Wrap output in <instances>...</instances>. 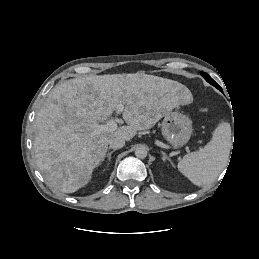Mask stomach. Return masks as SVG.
I'll list each match as a JSON object with an SVG mask.
<instances>
[{
    "mask_svg": "<svg viewBox=\"0 0 259 259\" xmlns=\"http://www.w3.org/2000/svg\"><path fill=\"white\" fill-rule=\"evenodd\" d=\"M183 92H189L184 87ZM192 121L178 111H169L162 122V135L173 148L184 146L192 135Z\"/></svg>",
    "mask_w": 259,
    "mask_h": 259,
    "instance_id": "0dacf381",
    "label": "stomach"
}]
</instances>
